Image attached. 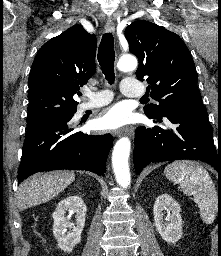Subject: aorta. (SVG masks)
<instances>
[{
    "label": "aorta",
    "mask_w": 221,
    "mask_h": 256,
    "mask_svg": "<svg viewBox=\"0 0 221 256\" xmlns=\"http://www.w3.org/2000/svg\"><path fill=\"white\" fill-rule=\"evenodd\" d=\"M117 67L120 71H131L137 67V60L132 56H125L119 59ZM131 142L128 137L120 138L113 149L112 166L117 183L126 188L130 185L131 175L129 169V155Z\"/></svg>",
    "instance_id": "1"
}]
</instances>
